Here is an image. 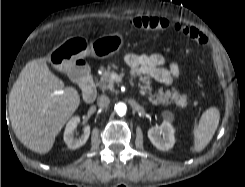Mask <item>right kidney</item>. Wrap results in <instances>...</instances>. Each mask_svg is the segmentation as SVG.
I'll use <instances>...</instances> for the list:
<instances>
[{
	"label": "right kidney",
	"mask_w": 245,
	"mask_h": 187,
	"mask_svg": "<svg viewBox=\"0 0 245 187\" xmlns=\"http://www.w3.org/2000/svg\"><path fill=\"white\" fill-rule=\"evenodd\" d=\"M80 123V118L78 116L72 117L66 125L64 132V141L69 149H77L84 145L90 135V126L84 127L83 134L80 137H75V129Z\"/></svg>",
	"instance_id": "ca27d5eb"
}]
</instances>
